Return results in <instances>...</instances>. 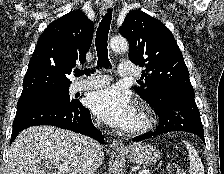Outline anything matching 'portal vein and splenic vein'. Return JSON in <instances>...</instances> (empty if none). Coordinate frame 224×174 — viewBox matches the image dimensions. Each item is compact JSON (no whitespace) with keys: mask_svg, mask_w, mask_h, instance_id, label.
<instances>
[{"mask_svg":"<svg viewBox=\"0 0 224 174\" xmlns=\"http://www.w3.org/2000/svg\"><path fill=\"white\" fill-rule=\"evenodd\" d=\"M138 174H149V170H141Z\"/></svg>","mask_w":224,"mask_h":174,"instance_id":"18ae733b","label":"portal vein and splenic vein"}]
</instances>
